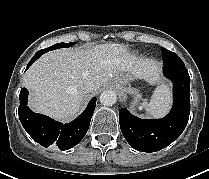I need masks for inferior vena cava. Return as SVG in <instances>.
Instances as JSON below:
<instances>
[{
	"instance_id": "602c4592",
	"label": "inferior vena cava",
	"mask_w": 209,
	"mask_h": 179,
	"mask_svg": "<svg viewBox=\"0 0 209 179\" xmlns=\"http://www.w3.org/2000/svg\"><path fill=\"white\" fill-rule=\"evenodd\" d=\"M94 83L92 81H87L84 83V85L82 86V91L84 93H87V92H91L94 90Z\"/></svg>"
}]
</instances>
